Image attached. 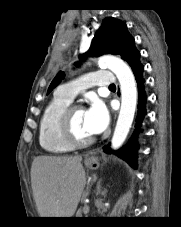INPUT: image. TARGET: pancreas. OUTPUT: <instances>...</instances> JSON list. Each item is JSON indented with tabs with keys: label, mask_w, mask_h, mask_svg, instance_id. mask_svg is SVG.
I'll list each match as a JSON object with an SVG mask.
<instances>
[{
	"label": "pancreas",
	"mask_w": 181,
	"mask_h": 227,
	"mask_svg": "<svg viewBox=\"0 0 181 227\" xmlns=\"http://www.w3.org/2000/svg\"><path fill=\"white\" fill-rule=\"evenodd\" d=\"M83 212H84V213L87 212V210H86L84 207H83L82 209H79V210H78V217H83V216H82V213H83Z\"/></svg>",
	"instance_id": "obj_1"
}]
</instances>
